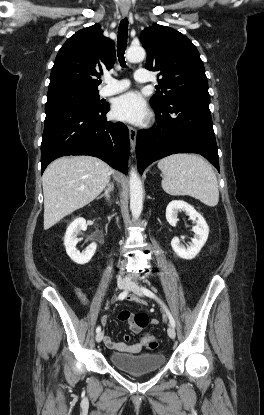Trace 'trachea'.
<instances>
[{"instance_id": "3493384b", "label": "trachea", "mask_w": 264, "mask_h": 415, "mask_svg": "<svg viewBox=\"0 0 264 415\" xmlns=\"http://www.w3.org/2000/svg\"><path fill=\"white\" fill-rule=\"evenodd\" d=\"M127 35H128V19L121 20L118 27V39H117V56L121 67H126L125 50L127 47Z\"/></svg>"}]
</instances>
